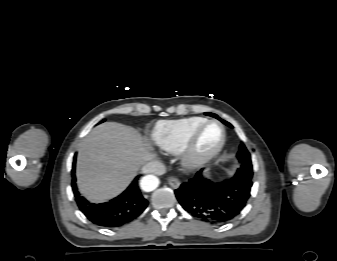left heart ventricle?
Returning <instances> with one entry per match:
<instances>
[{
	"mask_svg": "<svg viewBox=\"0 0 337 261\" xmlns=\"http://www.w3.org/2000/svg\"><path fill=\"white\" fill-rule=\"evenodd\" d=\"M221 138V132L217 125H210L206 127L200 134L196 150L198 153H206L213 149Z\"/></svg>",
	"mask_w": 337,
	"mask_h": 261,
	"instance_id": "b2bd125f",
	"label": "left heart ventricle"
}]
</instances>
